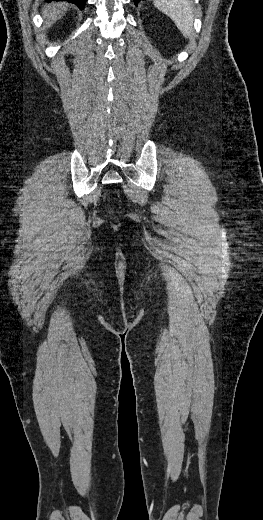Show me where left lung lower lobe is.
Wrapping results in <instances>:
<instances>
[{"instance_id": "1", "label": "left lung lower lobe", "mask_w": 263, "mask_h": 520, "mask_svg": "<svg viewBox=\"0 0 263 520\" xmlns=\"http://www.w3.org/2000/svg\"><path fill=\"white\" fill-rule=\"evenodd\" d=\"M133 1H134L135 5H137L140 0H133Z\"/></svg>"}]
</instances>
